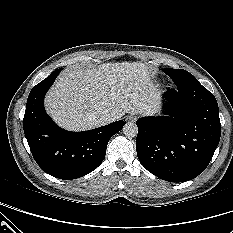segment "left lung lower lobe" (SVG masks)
Instances as JSON below:
<instances>
[{"label":"left lung lower lobe","mask_w":233,"mask_h":233,"mask_svg":"<svg viewBox=\"0 0 233 233\" xmlns=\"http://www.w3.org/2000/svg\"><path fill=\"white\" fill-rule=\"evenodd\" d=\"M166 116L137 120V155L155 176L170 182L197 177L208 166L220 140L214 95L198 81L168 89Z\"/></svg>","instance_id":"1"}]
</instances>
